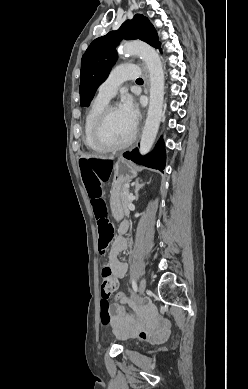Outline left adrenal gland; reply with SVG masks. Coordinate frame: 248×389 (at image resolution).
<instances>
[{"mask_svg": "<svg viewBox=\"0 0 248 389\" xmlns=\"http://www.w3.org/2000/svg\"><path fill=\"white\" fill-rule=\"evenodd\" d=\"M134 186H135V189H134L135 199H138V191L140 190V188H142L144 186V184H140L139 181L137 180L135 182Z\"/></svg>", "mask_w": 248, "mask_h": 389, "instance_id": "left-adrenal-gland-1", "label": "left adrenal gland"}]
</instances>
